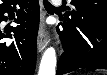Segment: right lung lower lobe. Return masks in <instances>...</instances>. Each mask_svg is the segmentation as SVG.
<instances>
[{
    "instance_id": "right-lung-lower-lobe-1",
    "label": "right lung lower lobe",
    "mask_w": 107,
    "mask_h": 75,
    "mask_svg": "<svg viewBox=\"0 0 107 75\" xmlns=\"http://www.w3.org/2000/svg\"><path fill=\"white\" fill-rule=\"evenodd\" d=\"M17 12L15 22L20 24L2 31L0 29V75H33L36 63V43L40 9L38 0H3L0 4V22ZM13 42H4L12 38Z\"/></svg>"
}]
</instances>
